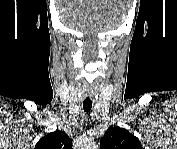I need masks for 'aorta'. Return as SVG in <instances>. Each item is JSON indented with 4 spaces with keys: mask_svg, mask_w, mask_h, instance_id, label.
Listing matches in <instances>:
<instances>
[{
    "mask_svg": "<svg viewBox=\"0 0 177 149\" xmlns=\"http://www.w3.org/2000/svg\"><path fill=\"white\" fill-rule=\"evenodd\" d=\"M97 148H98V146L95 144H91V145L87 146V149H97Z\"/></svg>",
    "mask_w": 177,
    "mask_h": 149,
    "instance_id": "762f6f07",
    "label": "aorta"
}]
</instances>
